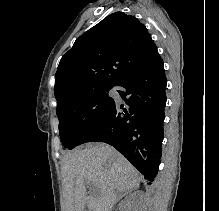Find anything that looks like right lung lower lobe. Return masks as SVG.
<instances>
[{
  "mask_svg": "<svg viewBox=\"0 0 219 211\" xmlns=\"http://www.w3.org/2000/svg\"><path fill=\"white\" fill-rule=\"evenodd\" d=\"M166 76L160 56L128 73L116 86L125 101L92 126L80 143L98 141L114 146L149 181L158 172L163 141Z\"/></svg>",
  "mask_w": 219,
  "mask_h": 211,
  "instance_id": "obj_1",
  "label": "right lung lower lobe"
}]
</instances>
